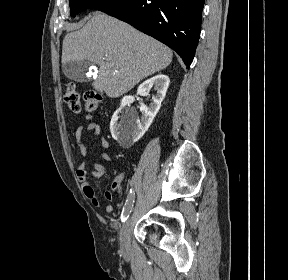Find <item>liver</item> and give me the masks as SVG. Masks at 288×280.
I'll return each instance as SVG.
<instances>
[{
    "label": "liver",
    "mask_w": 288,
    "mask_h": 280,
    "mask_svg": "<svg viewBox=\"0 0 288 280\" xmlns=\"http://www.w3.org/2000/svg\"><path fill=\"white\" fill-rule=\"evenodd\" d=\"M172 51L159 41L114 17L96 11L63 40L62 63L88 60L99 66L92 87L117 98L144 78L165 69Z\"/></svg>",
    "instance_id": "obj_1"
}]
</instances>
